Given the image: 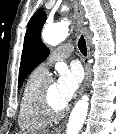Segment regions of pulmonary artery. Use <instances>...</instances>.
<instances>
[{
  "label": "pulmonary artery",
  "mask_w": 116,
  "mask_h": 134,
  "mask_svg": "<svg viewBox=\"0 0 116 134\" xmlns=\"http://www.w3.org/2000/svg\"><path fill=\"white\" fill-rule=\"evenodd\" d=\"M73 51V47L71 44H64L60 47H58L50 56V58L42 63L37 69L46 74L48 71V68L50 67V65L54 62V61H58V60H63L66 59L67 57H69L71 55Z\"/></svg>",
  "instance_id": "1"
}]
</instances>
